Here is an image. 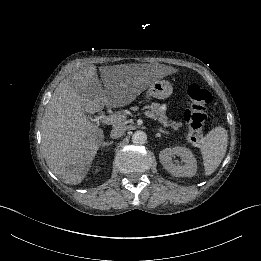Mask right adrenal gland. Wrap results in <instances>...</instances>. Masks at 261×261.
I'll list each match as a JSON object with an SVG mask.
<instances>
[{
  "label": "right adrenal gland",
  "instance_id": "obj_1",
  "mask_svg": "<svg viewBox=\"0 0 261 261\" xmlns=\"http://www.w3.org/2000/svg\"><path fill=\"white\" fill-rule=\"evenodd\" d=\"M113 143H114L113 141H110V142H103V143H102V147L110 146V145H112Z\"/></svg>",
  "mask_w": 261,
  "mask_h": 261
}]
</instances>
